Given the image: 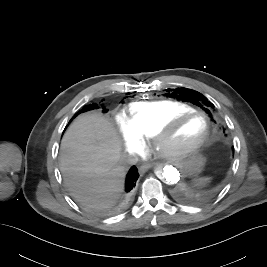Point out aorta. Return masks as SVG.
<instances>
[{
    "label": "aorta",
    "mask_w": 267,
    "mask_h": 267,
    "mask_svg": "<svg viewBox=\"0 0 267 267\" xmlns=\"http://www.w3.org/2000/svg\"><path fill=\"white\" fill-rule=\"evenodd\" d=\"M154 172L157 178L168 184H176L180 180L179 170L172 165H158Z\"/></svg>",
    "instance_id": "obj_1"
}]
</instances>
